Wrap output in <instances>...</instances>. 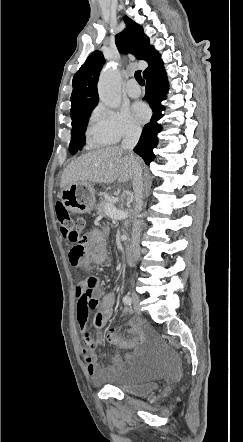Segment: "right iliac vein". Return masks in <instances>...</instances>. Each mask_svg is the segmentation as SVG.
Instances as JSON below:
<instances>
[{"mask_svg": "<svg viewBox=\"0 0 243 442\" xmlns=\"http://www.w3.org/2000/svg\"><path fill=\"white\" fill-rule=\"evenodd\" d=\"M131 299H132L135 309L140 312L141 304H140V298H139L138 294L136 292L132 291L131 292Z\"/></svg>", "mask_w": 243, "mask_h": 442, "instance_id": "63e3f726", "label": "right iliac vein"}]
</instances>
